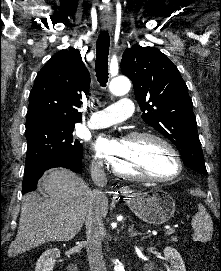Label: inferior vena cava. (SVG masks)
<instances>
[{
    "label": "inferior vena cava",
    "instance_id": "inferior-vena-cava-1",
    "mask_svg": "<svg viewBox=\"0 0 221 271\" xmlns=\"http://www.w3.org/2000/svg\"><path fill=\"white\" fill-rule=\"evenodd\" d=\"M92 167L97 171L96 185H98V189L90 191V201L84 219L87 239L86 249L90 271H107L102 253V239L105 233V225L99 205L100 199L106 197L102 189L107 185V177H105L101 161H97Z\"/></svg>",
    "mask_w": 221,
    "mask_h": 271
}]
</instances>
